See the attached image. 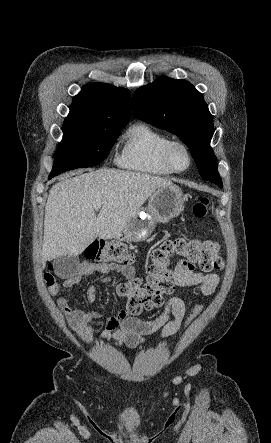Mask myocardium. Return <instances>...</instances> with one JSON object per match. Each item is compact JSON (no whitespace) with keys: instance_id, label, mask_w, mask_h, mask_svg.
<instances>
[{"instance_id":"obj_1","label":"myocardium","mask_w":271,"mask_h":443,"mask_svg":"<svg viewBox=\"0 0 271 443\" xmlns=\"http://www.w3.org/2000/svg\"><path fill=\"white\" fill-rule=\"evenodd\" d=\"M176 145H181V146H183V147L186 149V151H187V153H188V155H189V158H190V164H189V166H188L186 169H178V168L174 165V163H173V160H172V149H173V147L176 146ZM163 157H164V160H165V162L167 163V165H168V166L171 168V170H172L173 172H175V173H184V172L188 171L189 169H191V167H192L193 164H194V154H193V151H192L191 147H190L185 141L180 140V139L172 138V139H170V140L166 143V145H165V147H164V149H163Z\"/></svg>"}]
</instances>
